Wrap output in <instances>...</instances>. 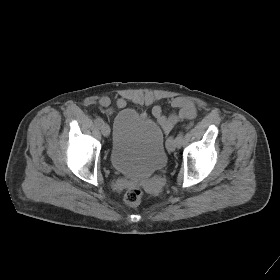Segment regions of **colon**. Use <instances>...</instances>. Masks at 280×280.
I'll return each instance as SVG.
<instances>
[{
	"mask_svg": "<svg viewBox=\"0 0 280 280\" xmlns=\"http://www.w3.org/2000/svg\"><path fill=\"white\" fill-rule=\"evenodd\" d=\"M143 191L140 188H131L124 195V201L129 206H137L142 199Z\"/></svg>",
	"mask_w": 280,
	"mask_h": 280,
	"instance_id": "obj_1",
	"label": "colon"
}]
</instances>
